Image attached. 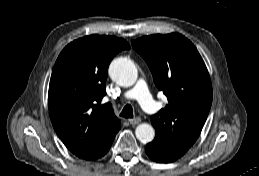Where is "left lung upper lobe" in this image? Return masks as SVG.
<instances>
[{
    "label": "left lung upper lobe",
    "instance_id": "1",
    "mask_svg": "<svg viewBox=\"0 0 259 176\" xmlns=\"http://www.w3.org/2000/svg\"><path fill=\"white\" fill-rule=\"evenodd\" d=\"M147 62L168 104L151 116L155 139L187 151L197 140L212 103V86L196 47L179 33L144 36L132 41Z\"/></svg>",
    "mask_w": 259,
    "mask_h": 176
}]
</instances>
